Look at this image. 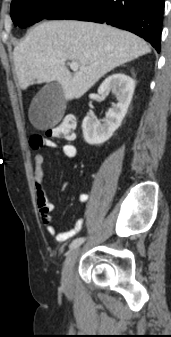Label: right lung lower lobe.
I'll return each mask as SVG.
<instances>
[{
    "instance_id": "1",
    "label": "right lung lower lobe",
    "mask_w": 171,
    "mask_h": 337,
    "mask_svg": "<svg viewBox=\"0 0 171 337\" xmlns=\"http://www.w3.org/2000/svg\"><path fill=\"white\" fill-rule=\"evenodd\" d=\"M164 0H70L46 19L106 23L137 34L160 52Z\"/></svg>"
}]
</instances>
